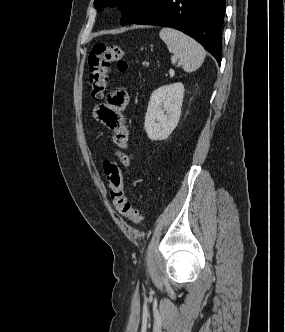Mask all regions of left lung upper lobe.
I'll return each mask as SVG.
<instances>
[{
    "label": "left lung upper lobe",
    "mask_w": 285,
    "mask_h": 332,
    "mask_svg": "<svg viewBox=\"0 0 285 332\" xmlns=\"http://www.w3.org/2000/svg\"><path fill=\"white\" fill-rule=\"evenodd\" d=\"M157 0H95L94 4L101 11V7L119 6L123 11L122 25L132 24L144 15Z\"/></svg>",
    "instance_id": "obj_1"
}]
</instances>
